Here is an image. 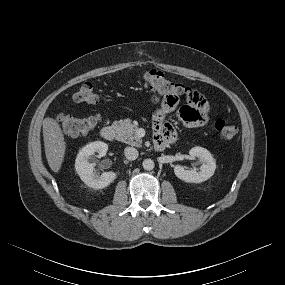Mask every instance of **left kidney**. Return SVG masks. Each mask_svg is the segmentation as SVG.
<instances>
[{"label":"left kidney","mask_w":285,"mask_h":285,"mask_svg":"<svg viewBox=\"0 0 285 285\" xmlns=\"http://www.w3.org/2000/svg\"><path fill=\"white\" fill-rule=\"evenodd\" d=\"M190 156L199 158L202 166L200 171L186 170L182 165L174 167L175 175L187 183H201L213 176L216 169V162L211 153L202 147H194L189 151Z\"/></svg>","instance_id":"left-kidney-1"}]
</instances>
